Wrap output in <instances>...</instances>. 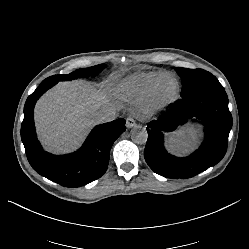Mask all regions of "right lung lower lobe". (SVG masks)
<instances>
[{
  "label": "right lung lower lobe",
  "instance_id": "1",
  "mask_svg": "<svg viewBox=\"0 0 249 249\" xmlns=\"http://www.w3.org/2000/svg\"><path fill=\"white\" fill-rule=\"evenodd\" d=\"M55 84L43 82L27 98L21 139L29 163L40 175L65 187L83 186L106 172L111 146L125 131V120L120 118L95 126L82 147L74 153L52 155L44 151L36 137L33 110L40 96Z\"/></svg>",
  "mask_w": 249,
  "mask_h": 249
}]
</instances>
